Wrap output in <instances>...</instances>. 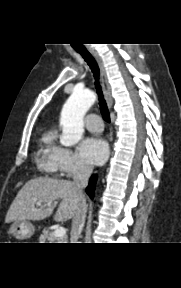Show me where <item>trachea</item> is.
<instances>
[{"mask_svg":"<svg viewBox=\"0 0 181 288\" xmlns=\"http://www.w3.org/2000/svg\"><path fill=\"white\" fill-rule=\"evenodd\" d=\"M77 53H79L84 60L87 62V64L89 65L91 71L93 72L94 78H95V87L97 89V93L99 96V105H100V110H101V114L103 119L110 123V114L107 108V104L106 101L103 97V93L101 90V86L99 84V68L98 65L95 61V59L92 57V55L85 49V48H76L75 49Z\"/></svg>","mask_w":181,"mask_h":288,"instance_id":"trachea-1","label":"trachea"}]
</instances>
